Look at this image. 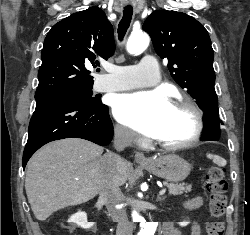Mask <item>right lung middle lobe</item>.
Masks as SVG:
<instances>
[{
    "label": "right lung middle lobe",
    "mask_w": 250,
    "mask_h": 235,
    "mask_svg": "<svg viewBox=\"0 0 250 235\" xmlns=\"http://www.w3.org/2000/svg\"><path fill=\"white\" fill-rule=\"evenodd\" d=\"M92 94H93L92 87H87L83 89L53 94V95H49L46 97H76V98L84 99L90 103H98L99 100H97L96 98H93Z\"/></svg>",
    "instance_id": "obj_1"
}]
</instances>
